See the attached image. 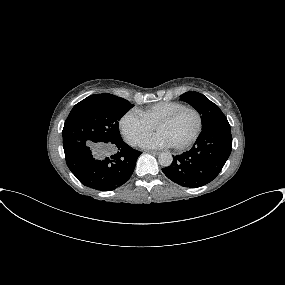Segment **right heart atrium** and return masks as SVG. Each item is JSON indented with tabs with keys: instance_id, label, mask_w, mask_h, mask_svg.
<instances>
[{
	"instance_id": "d8ad5b80",
	"label": "right heart atrium",
	"mask_w": 285,
	"mask_h": 285,
	"mask_svg": "<svg viewBox=\"0 0 285 285\" xmlns=\"http://www.w3.org/2000/svg\"><path fill=\"white\" fill-rule=\"evenodd\" d=\"M120 129L125 139L135 146L152 132L153 126L137 110H129L120 119Z\"/></svg>"
}]
</instances>
